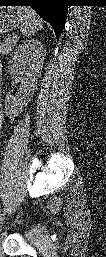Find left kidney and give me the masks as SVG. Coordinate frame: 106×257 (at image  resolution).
Listing matches in <instances>:
<instances>
[{"instance_id":"obj_1","label":"left kidney","mask_w":106,"mask_h":257,"mask_svg":"<svg viewBox=\"0 0 106 257\" xmlns=\"http://www.w3.org/2000/svg\"><path fill=\"white\" fill-rule=\"evenodd\" d=\"M44 53L42 44L35 39L24 41L13 53L8 66L10 75L23 71L24 77L15 78V81L20 82L18 92L14 96H6L5 108L10 114L18 113L22 101L29 97L35 87L42 70Z\"/></svg>"}]
</instances>
